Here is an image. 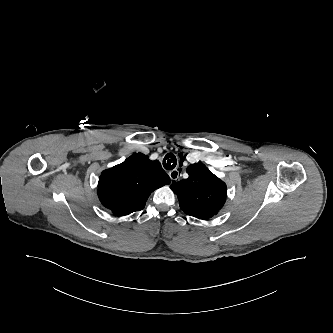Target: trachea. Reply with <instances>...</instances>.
I'll list each match as a JSON object with an SVG mask.
<instances>
[{
  "label": "trachea",
  "mask_w": 333,
  "mask_h": 333,
  "mask_svg": "<svg viewBox=\"0 0 333 333\" xmlns=\"http://www.w3.org/2000/svg\"><path fill=\"white\" fill-rule=\"evenodd\" d=\"M176 165H177V159H176L175 155L172 153L166 154L163 159L164 168L167 170H172L176 167Z\"/></svg>",
  "instance_id": "1"
}]
</instances>
